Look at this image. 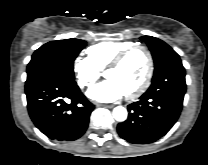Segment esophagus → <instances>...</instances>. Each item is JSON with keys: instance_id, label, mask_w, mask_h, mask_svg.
<instances>
[{"instance_id": "esophagus-1", "label": "esophagus", "mask_w": 208, "mask_h": 165, "mask_svg": "<svg viewBox=\"0 0 208 165\" xmlns=\"http://www.w3.org/2000/svg\"><path fill=\"white\" fill-rule=\"evenodd\" d=\"M96 106H98V107H105V108H112L114 105L97 103Z\"/></svg>"}]
</instances>
